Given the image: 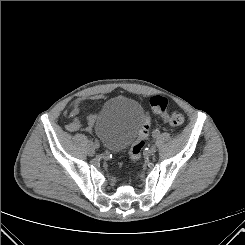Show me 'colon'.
I'll use <instances>...</instances> for the list:
<instances>
[{"label": "colon", "mask_w": 245, "mask_h": 245, "mask_svg": "<svg viewBox=\"0 0 245 245\" xmlns=\"http://www.w3.org/2000/svg\"><path fill=\"white\" fill-rule=\"evenodd\" d=\"M150 105L155 113L160 115L165 122L171 126H179L184 122V115L180 112H167V99L160 95H155L150 98ZM150 120L145 118L144 123L139 131L137 140L133 143L130 149V160L136 162L140 159L145 146V140L149 136Z\"/></svg>", "instance_id": "obj_1"}]
</instances>
